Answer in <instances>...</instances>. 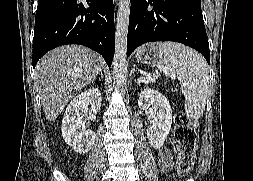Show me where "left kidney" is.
I'll return each mask as SVG.
<instances>
[{
  "label": "left kidney",
  "instance_id": "5707ae66",
  "mask_svg": "<svg viewBox=\"0 0 253 181\" xmlns=\"http://www.w3.org/2000/svg\"><path fill=\"white\" fill-rule=\"evenodd\" d=\"M138 106L143 110L150 109L152 125L147 130V137L153 148L160 149L172 126V109L168 99L157 90L144 88Z\"/></svg>",
  "mask_w": 253,
  "mask_h": 181
}]
</instances>
